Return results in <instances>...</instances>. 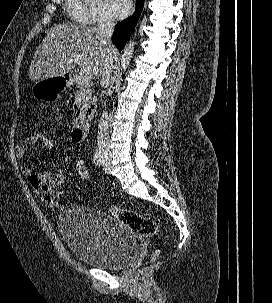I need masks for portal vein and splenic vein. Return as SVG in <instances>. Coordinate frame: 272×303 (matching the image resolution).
Returning a JSON list of instances; mask_svg holds the SVG:
<instances>
[{"instance_id":"18ae733b","label":"portal vein and splenic vein","mask_w":272,"mask_h":303,"mask_svg":"<svg viewBox=\"0 0 272 303\" xmlns=\"http://www.w3.org/2000/svg\"><path fill=\"white\" fill-rule=\"evenodd\" d=\"M71 62L77 63L78 60H77V59L71 60ZM79 81H80V84H83V85H90V83H91V78H90L89 76H87V75H80Z\"/></svg>"}]
</instances>
